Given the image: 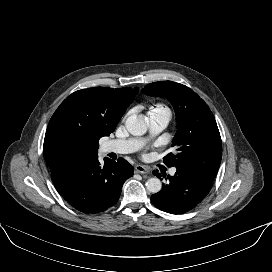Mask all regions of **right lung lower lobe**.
I'll use <instances>...</instances> for the list:
<instances>
[{"instance_id": "obj_1", "label": "right lung lower lobe", "mask_w": 272, "mask_h": 272, "mask_svg": "<svg viewBox=\"0 0 272 272\" xmlns=\"http://www.w3.org/2000/svg\"><path fill=\"white\" fill-rule=\"evenodd\" d=\"M100 164L98 157L51 172L60 195L74 208L84 213H98L114 206L124 182L133 175V167L125 159L108 158Z\"/></svg>"}]
</instances>
